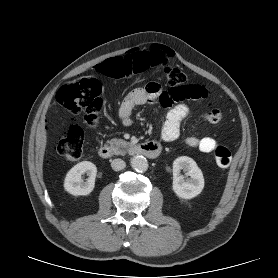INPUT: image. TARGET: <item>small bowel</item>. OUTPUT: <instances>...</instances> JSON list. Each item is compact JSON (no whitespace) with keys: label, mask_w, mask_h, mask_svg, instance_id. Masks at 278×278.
Segmentation results:
<instances>
[{"label":"small bowel","mask_w":278,"mask_h":278,"mask_svg":"<svg viewBox=\"0 0 278 278\" xmlns=\"http://www.w3.org/2000/svg\"><path fill=\"white\" fill-rule=\"evenodd\" d=\"M154 101H160L162 104L171 106L177 101L171 91H163L161 86L156 82H150L145 87L132 90L122 101L119 108V118L125 126L132 124L131 113L136 106H141ZM189 114V106L185 103L174 105L167 113L166 120L161 132L163 141L171 142L176 140L180 135V128L183 120ZM221 112L213 108L203 114V119L209 123H217L221 120ZM185 143L199 149L201 152L210 153L214 151L218 142L212 137L189 136Z\"/></svg>","instance_id":"obj_1"}]
</instances>
